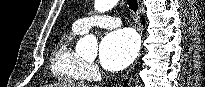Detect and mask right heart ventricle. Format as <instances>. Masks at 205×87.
I'll list each match as a JSON object with an SVG mask.
<instances>
[{"instance_id": "1", "label": "right heart ventricle", "mask_w": 205, "mask_h": 87, "mask_svg": "<svg viewBox=\"0 0 205 87\" xmlns=\"http://www.w3.org/2000/svg\"><path fill=\"white\" fill-rule=\"evenodd\" d=\"M82 34L74 27L63 34L54 46L50 69L53 76L68 83L82 82L87 79L84 72L85 61L73 48L75 36Z\"/></svg>"}]
</instances>
